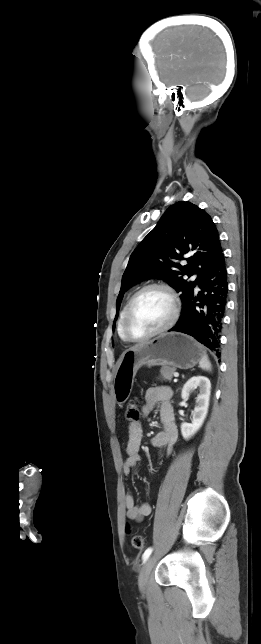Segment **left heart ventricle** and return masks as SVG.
Returning a JSON list of instances; mask_svg holds the SVG:
<instances>
[{"label": "left heart ventricle", "instance_id": "obj_1", "mask_svg": "<svg viewBox=\"0 0 261 644\" xmlns=\"http://www.w3.org/2000/svg\"><path fill=\"white\" fill-rule=\"evenodd\" d=\"M172 304L160 289H150L136 300L129 319V330L136 337L145 336L162 327L170 318Z\"/></svg>", "mask_w": 261, "mask_h": 644}]
</instances>
